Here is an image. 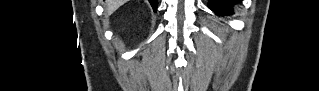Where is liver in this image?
I'll return each instance as SVG.
<instances>
[{
  "instance_id": "1",
  "label": "liver",
  "mask_w": 319,
  "mask_h": 91,
  "mask_svg": "<svg viewBox=\"0 0 319 91\" xmlns=\"http://www.w3.org/2000/svg\"><path fill=\"white\" fill-rule=\"evenodd\" d=\"M126 2L127 0H106L105 6H106L107 14H112L114 11H116L120 6H122Z\"/></svg>"
}]
</instances>
